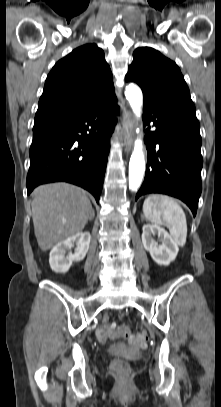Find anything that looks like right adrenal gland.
Here are the masks:
<instances>
[{
	"mask_svg": "<svg viewBox=\"0 0 221 407\" xmlns=\"http://www.w3.org/2000/svg\"><path fill=\"white\" fill-rule=\"evenodd\" d=\"M92 212H93V217H92V219H93V218H94V215H95V214H94V210H93Z\"/></svg>",
	"mask_w": 221,
	"mask_h": 407,
	"instance_id": "right-adrenal-gland-1",
	"label": "right adrenal gland"
}]
</instances>
